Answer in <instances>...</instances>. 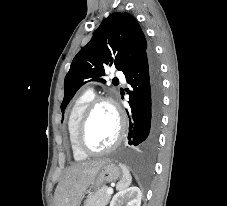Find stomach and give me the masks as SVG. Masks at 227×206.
Segmentation results:
<instances>
[{"label":"stomach","instance_id":"1","mask_svg":"<svg viewBox=\"0 0 227 206\" xmlns=\"http://www.w3.org/2000/svg\"><path fill=\"white\" fill-rule=\"evenodd\" d=\"M122 175L120 168L111 161L105 162L99 169L91 187H100L119 179Z\"/></svg>","mask_w":227,"mask_h":206}]
</instances>
